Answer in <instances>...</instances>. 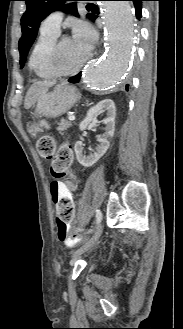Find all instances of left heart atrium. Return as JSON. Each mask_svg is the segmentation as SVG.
<instances>
[{
    "label": "left heart atrium",
    "mask_w": 183,
    "mask_h": 329,
    "mask_svg": "<svg viewBox=\"0 0 183 329\" xmlns=\"http://www.w3.org/2000/svg\"><path fill=\"white\" fill-rule=\"evenodd\" d=\"M96 32L91 25L83 21H77L73 25V42L75 45L89 52L95 41H96Z\"/></svg>",
    "instance_id": "39dd6f15"
}]
</instances>
